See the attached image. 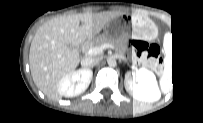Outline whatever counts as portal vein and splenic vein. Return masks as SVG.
Here are the masks:
<instances>
[{
	"mask_svg": "<svg viewBox=\"0 0 203 123\" xmlns=\"http://www.w3.org/2000/svg\"><path fill=\"white\" fill-rule=\"evenodd\" d=\"M113 46L109 43H105V44H102L101 46H95L93 48H90L89 49V54H93V55H97L99 54L103 49H106V48H112Z\"/></svg>",
	"mask_w": 203,
	"mask_h": 123,
	"instance_id": "obj_1",
	"label": "portal vein and splenic vein"
}]
</instances>
